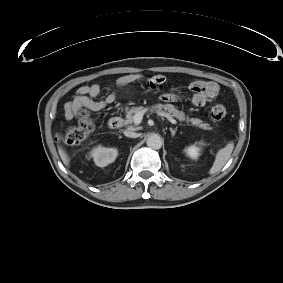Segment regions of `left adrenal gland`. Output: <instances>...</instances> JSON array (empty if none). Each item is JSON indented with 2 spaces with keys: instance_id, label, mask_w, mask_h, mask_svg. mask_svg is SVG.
I'll return each instance as SVG.
<instances>
[{
  "instance_id": "1",
  "label": "left adrenal gland",
  "mask_w": 283,
  "mask_h": 283,
  "mask_svg": "<svg viewBox=\"0 0 283 283\" xmlns=\"http://www.w3.org/2000/svg\"><path fill=\"white\" fill-rule=\"evenodd\" d=\"M169 129H170V132H171L172 137H174L175 134H176V132H177V127H176L175 129H173V128L170 127Z\"/></svg>"
}]
</instances>
